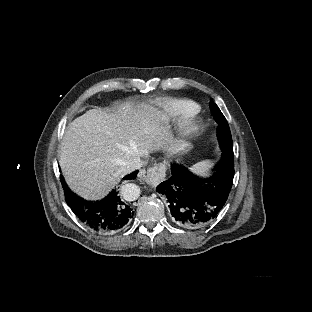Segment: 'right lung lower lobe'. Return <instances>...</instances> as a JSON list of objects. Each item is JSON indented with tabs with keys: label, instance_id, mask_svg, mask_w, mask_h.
I'll use <instances>...</instances> for the list:
<instances>
[{
	"label": "right lung lower lobe",
	"instance_id": "obj_1",
	"mask_svg": "<svg viewBox=\"0 0 312 312\" xmlns=\"http://www.w3.org/2000/svg\"><path fill=\"white\" fill-rule=\"evenodd\" d=\"M138 171H135L125 180L135 179ZM65 199L84 225L101 234H112L124 229L132 218L134 212L129 204L119 193L113 189L105 198L97 201H86L71 192L60 177Z\"/></svg>",
	"mask_w": 312,
	"mask_h": 312
}]
</instances>
